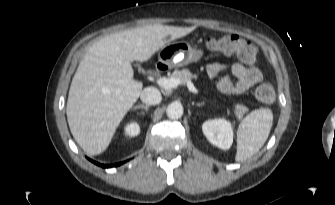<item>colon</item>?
<instances>
[{"label": "colon", "instance_id": "colon-1", "mask_svg": "<svg viewBox=\"0 0 335 205\" xmlns=\"http://www.w3.org/2000/svg\"><path fill=\"white\" fill-rule=\"evenodd\" d=\"M207 46L210 51L224 55H236L242 62L254 65L257 58V48L251 42L238 35H226L212 38ZM257 100L264 105H271L275 99V92L271 85L262 84L255 91Z\"/></svg>", "mask_w": 335, "mask_h": 205}]
</instances>
